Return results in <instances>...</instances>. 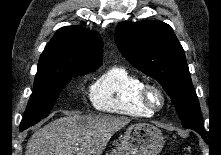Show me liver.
<instances>
[{
    "mask_svg": "<svg viewBox=\"0 0 221 155\" xmlns=\"http://www.w3.org/2000/svg\"><path fill=\"white\" fill-rule=\"evenodd\" d=\"M130 122L111 115H67L37 130L25 155H101L109 140Z\"/></svg>",
    "mask_w": 221,
    "mask_h": 155,
    "instance_id": "1",
    "label": "liver"
}]
</instances>
